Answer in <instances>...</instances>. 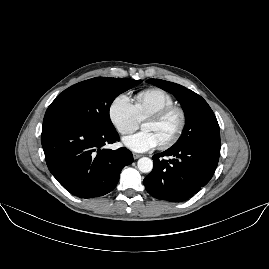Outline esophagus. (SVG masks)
Returning <instances> with one entry per match:
<instances>
[{
    "instance_id": "obj_1",
    "label": "esophagus",
    "mask_w": 269,
    "mask_h": 269,
    "mask_svg": "<svg viewBox=\"0 0 269 269\" xmlns=\"http://www.w3.org/2000/svg\"><path fill=\"white\" fill-rule=\"evenodd\" d=\"M133 157L136 160V159L142 157V155L141 154H137V153H133Z\"/></svg>"
}]
</instances>
